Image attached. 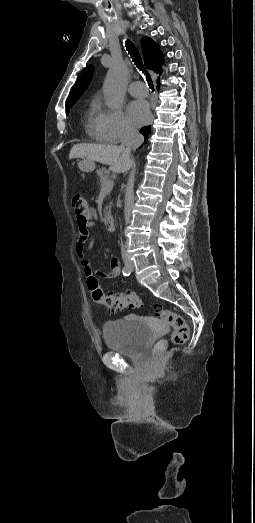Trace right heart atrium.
<instances>
[{
  "label": "right heart atrium",
  "mask_w": 255,
  "mask_h": 523,
  "mask_svg": "<svg viewBox=\"0 0 255 523\" xmlns=\"http://www.w3.org/2000/svg\"><path fill=\"white\" fill-rule=\"evenodd\" d=\"M110 126L116 139L126 140L137 134L135 125L127 118L123 108H114L108 112Z\"/></svg>",
  "instance_id": "1"
}]
</instances>
